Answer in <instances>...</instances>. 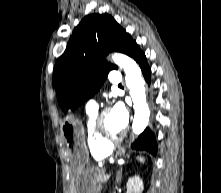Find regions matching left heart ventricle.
Wrapping results in <instances>:
<instances>
[{"instance_id": "b2bd125f", "label": "left heart ventricle", "mask_w": 221, "mask_h": 193, "mask_svg": "<svg viewBox=\"0 0 221 193\" xmlns=\"http://www.w3.org/2000/svg\"><path fill=\"white\" fill-rule=\"evenodd\" d=\"M104 127L109 135H119L123 128L118 124L111 112L107 113L104 118Z\"/></svg>"}]
</instances>
